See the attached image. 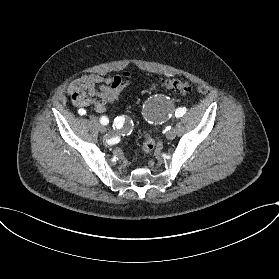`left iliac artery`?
<instances>
[{
    "instance_id": "obj_1",
    "label": "left iliac artery",
    "mask_w": 279,
    "mask_h": 279,
    "mask_svg": "<svg viewBox=\"0 0 279 279\" xmlns=\"http://www.w3.org/2000/svg\"><path fill=\"white\" fill-rule=\"evenodd\" d=\"M186 113V108H178L175 112L176 117H182ZM170 128V127H169Z\"/></svg>"
}]
</instances>
